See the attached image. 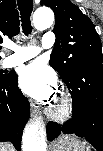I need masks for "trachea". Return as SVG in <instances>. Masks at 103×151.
<instances>
[{
    "mask_svg": "<svg viewBox=\"0 0 103 151\" xmlns=\"http://www.w3.org/2000/svg\"><path fill=\"white\" fill-rule=\"evenodd\" d=\"M21 14L22 29L25 35L31 34L30 16L33 10V0H17Z\"/></svg>",
    "mask_w": 103,
    "mask_h": 151,
    "instance_id": "1",
    "label": "trachea"
}]
</instances>
